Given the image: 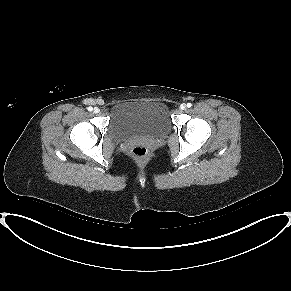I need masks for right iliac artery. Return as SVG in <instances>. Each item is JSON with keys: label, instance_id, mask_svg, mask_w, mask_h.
Wrapping results in <instances>:
<instances>
[{"label": "right iliac artery", "instance_id": "obj_1", "mask_svg": "<svg viewBox=\"0 0 291 291\" xmlns=\"http://www.w3.org/2000/svg\"><path fill=\"white\" fill-rule=\"evenodd\" d=\"M87 110H88V111H92L93 108H92L91 106H89V107L87 108Z\"/></svg>", "mask_w": 291, "mask_h": 291}]
</instances>
